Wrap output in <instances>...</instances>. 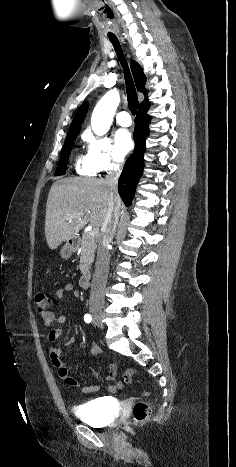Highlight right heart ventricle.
<instances>
[{
    "label": "right heart ventricle",
    "instance_id": "right-heart-ventricle-1",
    "mask_svg": "<svg viewBox=\"0 0 236 467\" xmlns=\"http://www.w3.org/2000/svg\"><path fill=\"white\" fill-rule=\"evenodd\" d=\"M75 168H76V171L81 174V175H85V176H93L94 175V171L88 166L87 162H86V158H82V157H77L76 159V162H75Z\"/></svg>",
    "mask_w": 236,
    "mask_h": 467
}]
</instances>
